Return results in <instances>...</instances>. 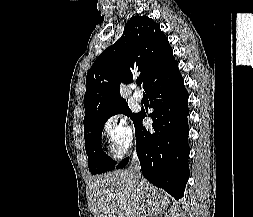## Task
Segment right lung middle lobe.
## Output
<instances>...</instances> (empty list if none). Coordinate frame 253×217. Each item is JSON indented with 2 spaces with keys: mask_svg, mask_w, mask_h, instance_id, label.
<instances>
[{
  "mask_svg": "<svg viewBox=\"0 0 253 217\" xmlns=\"http://www.w3.org/2000/svg\"><path fill=\"white\" fill-rule=\"evenodd\" d=\"M115 114H125L134 121L137 113H132L126 103L111 108L95 118L84 122L86 153L92 175L112 170L116 162L107 156L101 146V134L105 122Z\"/></svg>",
  "mask_w": 253,
  "mask_h": 217,
  "instance_id": "1",
  "label": "right lung middle lobe"
}]
</instances>
